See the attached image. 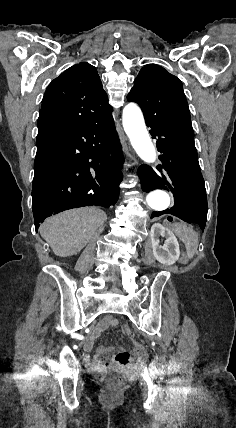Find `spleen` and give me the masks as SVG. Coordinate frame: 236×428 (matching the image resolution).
<instances>
[{
    "label": "spleen",
    "mask_w": 236,
    "mask_h": 428,
    "mask_svg": "<svg viewBox=\"0 0 236 428\" xmlns=\"http://www.w3.org/2000/svg\"><path fill=\"white\" fill-rule=\"evenodd\" d=\"M172 230L174 234L178 236L179 240H182L188 258H193L198 248V238L193 230V226H187V224H174Z\"/></svg>",
    "instance_id": "1"
}]
</instances>
